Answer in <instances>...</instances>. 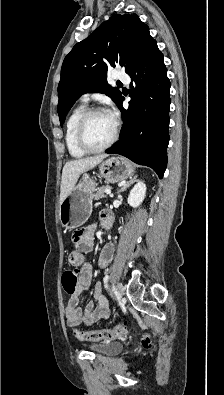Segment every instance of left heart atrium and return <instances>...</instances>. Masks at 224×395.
<instances>
[{"instance_id": "left-heart-atrium-1", "label": "left heart atrium", "mask_w": 224, "mask_h": 395, "mask_svg": "<svg viewBox=\"0 0 224 395\" xmlns=\"http://www.w3.org/2000/svg\"><path fill=\"white\" fill-rule=\"evenodd\" d=\"M107 114H108L113 120L116 119V112H115L114 109L110 110Z\"/></svg>"}]
</instances>
